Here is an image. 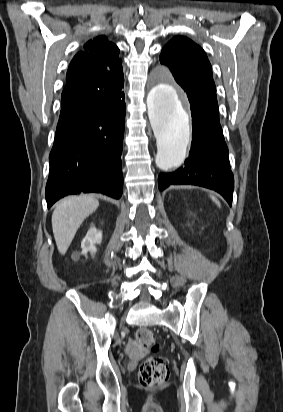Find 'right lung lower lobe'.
I'll list each match as a JSON object with an SVG mask.
<instances>
[{"instance_id": "right-lung-lower-lobe-1", "label": "right lung lower lobe", "mask_w": 283, "mask_h": 412, "mask_svg": "<svg viewBox=\"0 0 283 412\" xmlns=\"http://www.w3.org/2000/svg\"><path fill=\"white\" fill-rule=\"evenodd\" d=\"M122 88L123 84L102 82L62 102L49 156L48 208L60 198L80 192L121 197L126 112Z\"/></svg>"}]
</instances>
